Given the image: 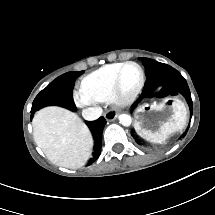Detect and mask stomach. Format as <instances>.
I'll use <instances>...</instances> for the list:
<instances>
[{"mask_svg": "<svg viewBox=\"0 0 215 215\" xmlns=\"http://www.w3.org/2000/svg\"><path fill=\"white\" fill-rule=\"evenodd\" d=\"M187 123L184 103L174 97L140 105L134 115L136 133L151 142H164Z\"/></svg>", "mask_w": 215, "mask_h": 215, "instance_id": "0dacf381", "label": "stomach"}]
</instances>
